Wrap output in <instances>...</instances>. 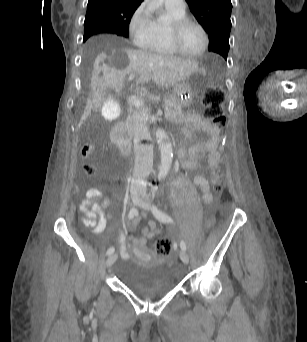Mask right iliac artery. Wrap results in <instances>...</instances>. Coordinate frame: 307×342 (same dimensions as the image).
I'll use <instances>...</instances> for the list:
<instances>
[{"label":"right iliac artery","instance_id":"obj_1","mask_svg":"<svg viewBox=\"0 0 307 342\" xmlns=\"http://www.w3.org/2000/svg\"><path fill=\"white\" fill-rule=\"evenodd\" d=\"M138 215V210L136 208H132L130 211H129V214H128V218L129 219H132L134 218V216ZM115 251L114 247H110L108 250H107V255H111L113 252Z\"/></svg>","mask_w":307,"mask_h":342}]
</instances>
